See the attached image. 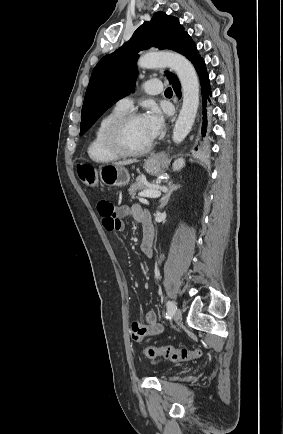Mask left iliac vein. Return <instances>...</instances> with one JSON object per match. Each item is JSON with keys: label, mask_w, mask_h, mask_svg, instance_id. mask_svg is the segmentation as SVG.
Returning <instances> with one entry per match:
<instances>
[{"label": "left iliac vein", "mask_w": 283, "mask_h": 434, "mask_svg": "<svg viewBox=\"0 0 283 434\" xmlns=\"http://www.w3.org/2000/svg\"><path fill=\"white\" fill-rule=\"evenodd\" d=\"M173 318L175 321H180L182 318V311L180 309H176Z\"/></svg>", "instance_id": "1"}]
</instances>
